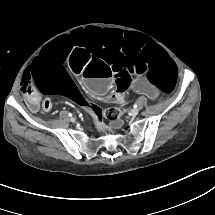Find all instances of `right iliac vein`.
I'll use <instances>...</instances> for the list:
<instances>
[{
	"mask_svg": "<svg viewBox=\"0 0 215 215\" xmlns=\"http://www.w3.org/2000/svg\"><path fill=\"white\" fill-rule=\"evenodd\" d=\"M70 121H71V122H75V118L72 117V118L70 119Z\"/></svg>",
	"mask_w": 215,
	"mask_h": 215,
	"instance_id": "right-iliac-vein-1",
	"label": "right iliac vein"
}]
</instances>
